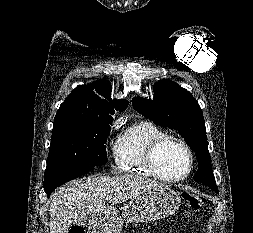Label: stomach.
I'll use <instances>...</instances> for the list:
<instances>
[{
  "instance_id": "obj_1",
  "label": "stomach",
  "mask_w": 253,
  "mask_h": 233,
  "mask_svg": "<svg viewBox=\"0 0 253 233\" xmlns=\"http://www.w3.org/2000/svg\"><path fill=\"white\" fill-rule=\"evenodd\" d=\"M180 196L167 186L149 189L132 199L122 213L112 209L92 215L90 233H119L124 221L145 222L168 217L180 207Z\"/></svg>"
}]
</instances>
